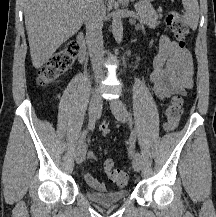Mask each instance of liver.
<instances>
[{"mask_svg": "<svg viewBox=\"0 0 216 217\" xmlns=\"http://www.w3.org/2000/svg\"><path fill=\"white\" fill-rule=\"evenodd\" d=\"M33 66L42 67L81 28L87 0H24Z\"/></svg>", "mask_w": 216, "mask_h": 217, "instance_id": "1", "label": "liver"}]
</instances>
